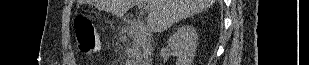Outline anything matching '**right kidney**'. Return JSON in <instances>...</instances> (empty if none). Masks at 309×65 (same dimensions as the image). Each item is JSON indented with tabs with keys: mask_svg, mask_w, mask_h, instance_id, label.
Segmentation results:
<instances>
[{
	"mask_svg": "<svg viewBox=\"0 0 309 65\" xmlns=\"http://www.w3.org/2000/svg\"><path fill=\"white\" fill-rule=\"evenodd\" d=\"M198 36L191 26L184 25L169 38L168 46L176 55V65H191L197 49Z\"/></svg>",
	"mask_w": 309,
	"mask_h": 65,
	"instance_id": "right-kidney-1",
	"label": "right kidney"
}]
</instances>
